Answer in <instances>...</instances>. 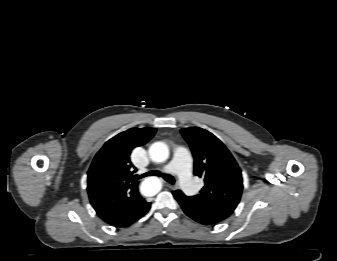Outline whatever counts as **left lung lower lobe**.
I'll return each mask as SVG.
<instances>
[{
    "instance_id": "1",
    "label": "left lung lower lobe",
    "mask_w": 337,
    "mask_h": 261,
    "mask_svg": "<svg viewBox=\"0 0 337 261\" xmlns=\"http://www.w3.org/2000/svg\"><path fill=\"white\" fill-rule=\"evenodd\" d=\"M173 195H174L175 199L180 203L181 208L184 211V213L188 217L193 219L195 222H198V223H200L202 225H206V226H214V225L220 223L217 220H215V219L195 210L194 208H192L188 204L184 203L182 201L180 191H178V190L173 191Z\"/></svg>"
}]
</instances>
